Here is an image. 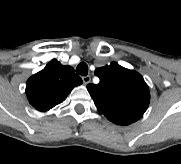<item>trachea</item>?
Returning <instances> with one entry per match:
<instances>
[{
    "instance_id": "3493384b",
    "label": "trachea",
    "mask_w": 181,
    "mask_h": 164,
    "mask_svg": "<svg viewBox=\"0 0 181 164\" xmlns=\"http://www.w3.org/2000/svg\"><path fill=\"white\" fill-rule=\"evenodd\" d=\"M76 72H77L79 75L87 76V74H88V65H87L85 62H81V63L77 66Z\"/></svg>"
}]
</instances>
